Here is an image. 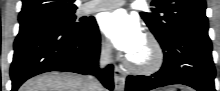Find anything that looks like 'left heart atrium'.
<instances>
[{
  "label": "left heart atrium",
  "instance_id": "left-heart-atrium-1",
  "mask_svg": "<svg viewBox=\"0 0 220 91\" xmlns=\"http://www.w3.org/2000/svg\"><path fill=\"white\" fill-rule=\"evenodd\" d=\"M100 26L114 47L124 52L128 57L145 40L138 20L123 9L104 14Z\"/></svg>",
  "mask_w": 220,
  "mask_h": 91
}]
</instances>
